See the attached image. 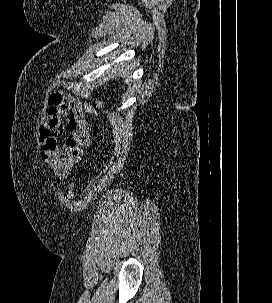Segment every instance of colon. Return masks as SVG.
<instances>
[{
	"instance_id": "1",
	"label": "colon",
	"mask_w": 272,
	"mask_h": 303,
	"mask_svg": "<svg viewBox=\"0 0 272 303\" xmlns=\"http://www.w3.org/2000/svg\"><path fill=\"white\" fill-rule=\"evenodd\" d=\"M86 112H87L88 114H94V113H96V108H95V106H94L93 104H88V105L86 106ZM73 195H74V189H73V186L70 185V186H69L68 196H69L70 198H72Z\"/></svg>"
}]
</instances>
